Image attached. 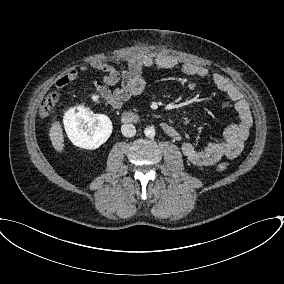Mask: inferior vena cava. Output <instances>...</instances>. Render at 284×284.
Returning <instances> with one entry per match:
<instances>
[{"label": "inferior vena cava", "instance_id": "obj_1", "mask_svg": "<svg viewBox=\"0 0 284 284\" xmlns=\"http://www.w3.org/2000/svg\"><path fill=\"white\" fill-rule=\"evenodd\" d=\"M121 132L125 137H133L136 133V128L133 124H124L121 127Z\"/></svg>", "mask_w": 284, "mask_h": 284}]
</instances>
